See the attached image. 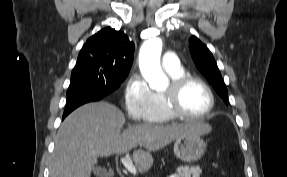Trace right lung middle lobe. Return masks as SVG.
I'll use <instances>...</instances> for the list:
<instances>
[{"instance_id": "right-lung-middle-lobe-1", "label": "right lung middle lobe", "mask_w": 287, "mask_h": 177, "mask_svg": "<svg viewBox=\"0 0 287 177\" xmlns=\"http://www.w3.org/2000/svg\"><path fill=\"white\" fill-rule=\"evenodd\" d=\"M128 74H112L109 71L96 68L75 66L67 92L81 88L104 89L107 94L114 92L125 80Z\"/></svg>"}]
</instances>
